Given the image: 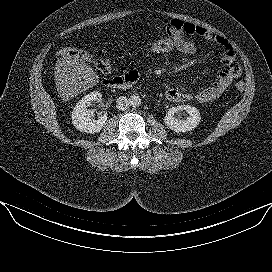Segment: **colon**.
Here are the masks:
<instances>
[{
    "instance_id": "colon-1",
    "label": "colon",
    "mask_w": 272,
    "mask_h": 272,
    "mask_svg": "<svg viewBox=\"0 0 272 272\" xmlns=\"http://www.w3.org/2000/svg\"><path fill=\"white\" fill-rule=\"evenodd\" d=\"M137 48L140 52L153 56H175L177 54H185L183 45L168 36L141 42L137 45ZM58 54L67 59L93 62L97 70L105 74L111 71V65L107 60H95L89 52L82 49L66 47L59 50ZM236 88L238 91H243L245 85L243 82H238Z\"/></svg>"
}]
</instances>
